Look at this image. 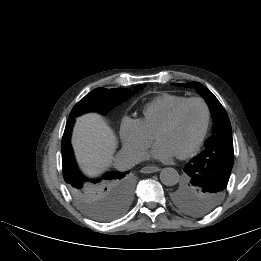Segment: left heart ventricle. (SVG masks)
Segmentation results:
<instances>
[{
	"label": "left heart ventricle",
	"mask_w": 261,
	"mask_h": 261,
	"mask_svg": "<svg viewBox=\"0 0 261 261\" xmlns=\"http://www.w3.org/2000/svg\"><path fill=\"white\" fill-rule=\"evenodd\" d=\"M204 121L203 106L197 102L190 103L172 127L159 133L158 141L168 143L179 154L196 141L202 131Z\"/></svg>",
	"instance_id": "left-heart-ventricle-1"
}]
</instances>
